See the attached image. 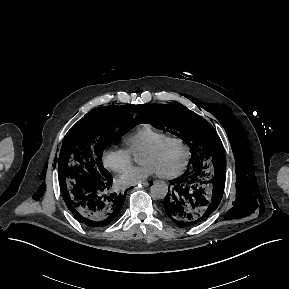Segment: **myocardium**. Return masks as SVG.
I'll list each match as a JSON object with an SVG mask.
<instances>
[{"label":"myocardium","instance_id":"1","mask_svg":"<svg viewBox=\"0 0 289 289\" xmlns=\"http://www.w3.org/2000/svg\"><path fill=\"white\" fill-rule=\"evenodd\" d=\"M168 142H177L182 145L185 151V158L181 166L176 169L175 171L169 172V173H158V175L162 178L171 179L180 176L187 168L190 159H191V149L188 143L181 137L175 136V135H168L158 142L152 144L151 146L143 149L140 153H154L158 151L163 145H165Z\"/></svg>","mask_w":289,"mask_h":289}]
</instances>
